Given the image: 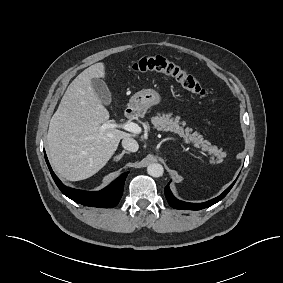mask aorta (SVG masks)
Returning <instances> with one entry per match:
<instances>
[{"instance_id":"aorta-1","label":"aorta","mask_w":283,"mask_h":283,"mask_svg":"<svg viewBox=\"0 0 283 283\" xmlns=\"http://www.w3.org/2000/svg\"><path fill=\"white\" fill-rule=\"evenodd\" d=\"M147 172L152 177H161L164 173V168L159 163H152L147 167Z\"/></svg>"}]
</instances>
